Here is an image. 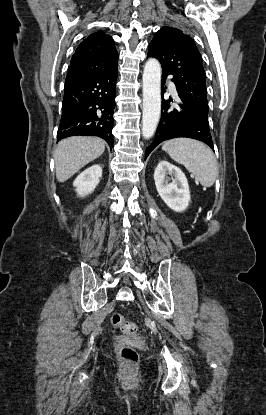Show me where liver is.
I'll list each match as a JSON object with an SVG mask.
<instances>
[{
    "label": "liver",
    "instance_id": "liver-1",
    "mask_svg": "<svg viewBox=\"0 0 266 415\" xmlns=\"http://www.w3.org/2000/svg\"><path fill=\"white\" fill-rule=\"evenodd\" d=\"M105 141L97 137L75 136L63 139L54 153L56 178L65 182L81 168L103 154Z\"/></svg>",
    "mask_w": 266,
    "mask_h": 415
}]
</instances>
